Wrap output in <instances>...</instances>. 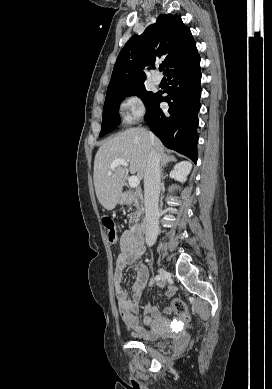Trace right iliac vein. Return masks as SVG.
Segmentation results:
<instances>
[{
	"mask_svg": "<svg viewBox=\"0 0 272 389\" xmlns=\"http://www.w3.org/2000/svg\"><path fill=\"white\" fill-rule=\"evenodd\" d=\"M158 274H159L162 281H165L169 276V273L166 270H164L163 268L158 269Z\"/></svg>",
	"mask_w": 272,
	"mask_h": 389,
	"instance_id": "obj_1",
	"label": "right iliac vein"
}]
</instances>
